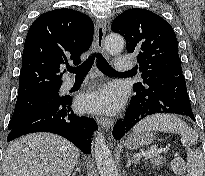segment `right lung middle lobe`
<instances>
[{
  "instance_id": "obj_1",
  "label": "right lung middle lobe",
  "mask_w": 205,
  "mask_h": 176,
  "mask_svg": "<svg viewBox=\"0 0 205 176\" xmlns=\"http://www.w3.org/2000/svg\"><path fill=\"white\" fill-rule=\"evenodd\" d=\"M60 87H53L31 93L26 96L17 97L13 116L9 122L8 129L11 130L25 121L30 115L43 105L56 99H61L57 93Z\"/></svg>"
}]
</instances>
